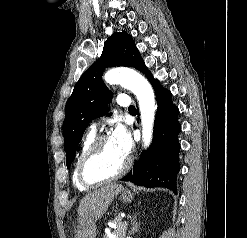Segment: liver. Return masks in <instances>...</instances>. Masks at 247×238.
Listing matches in <instances>:
<instances>
[{"label":"liver","instance_id":"liver-1","mask_svg":"<svg viewBox=\"0 0 247 238\" xmlns=\"http://www.w3.org/2000/svg\"><path fill=\"white\" fill-rule=\"evenodd\" d=\"M123 190L117 183L109 184L87 194L79 203L76 238H95L96 222L106 212L114 197Z\"/></svg>","mask_w":247,"mask_h":238}]
</instances>
